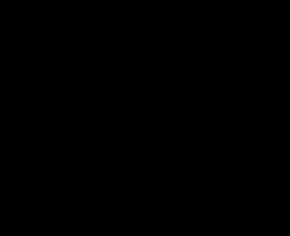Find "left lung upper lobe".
<instances>
[{"instance_id":"5c2ea615","label":"left lung upper lobe","mask_w":290,"mask_h":236,"mask_svg":"<svg viewBox=\"0 0 290 236\" xmlns=\"http://www.w3.org/2000/svg\"><path fill=\"white\" fill-rule=\"evenodd\" d=\"M193 53L201 60L204 76L198 100L188 114L202 111L226 95L238 92L232 75L223 64L199 50Z\"/></svg>"}]
</instances>
